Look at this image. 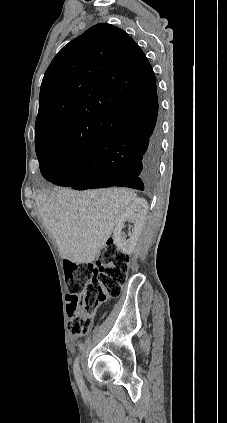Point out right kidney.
I'll return each mask as SVG.
<instances>
[{"label":"right kidney","instance_id":"right-kidney-1","mask_svg":"<svg viewBox=\"0 0 227 423\" xmlns=\"http://www.w3.org/2000/svg\"><path fill=\"white\" fill-rule=\"evenodd\" d=\"M147 211L148 204L146 200H144V198H136V200H133L132 204H129L128 208L119 215L113 231V243H115L118 249L123 251V253H128V255L133 253L135 243L141 233ZM125 221H132L134 225L131 233H128L129 239H125L121 231L122 227L125 225Z\"/></svg>","mask_w":227,"mask_h":423}]
</instances>
